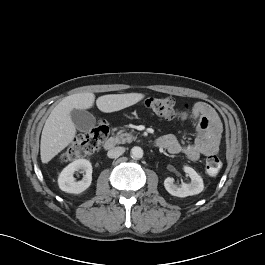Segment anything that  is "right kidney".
Listing matches in <instances>:
<instances>
[{
  "instance_id": "1",
  "label": "right kidney",
  "mask_w": 265,
  "mask_h": 265,
  "mask_svg": "<svg viewBox=\"0 0 265 265\" xmlns=\"http://www.w3.org/2000/svg\"><path fill=\"white\" fill-rule=\"evenodd\" d=\"M83 170L85 175L82 180L75 181L73 176L75 171ZM92 181V165L86 159H78L67 165L59 174V188L67 193L80 194L84 192Z\"/></svg>"
}]
</instances>
